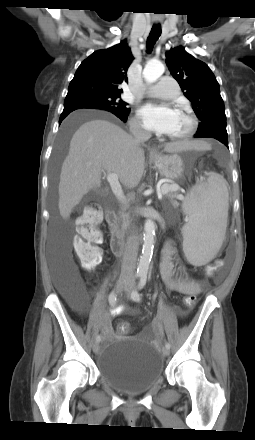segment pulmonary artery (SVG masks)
<instances>
[{
  "label": "pulmonary artery",
  "instance_id": "e3ab8cb5",
  "mask_svg": "<svg viewBox=\"0 0 255 440\" xmlns=\"http://www.w3.org/2000/svg\"><path fill=\"white\" fill-rule=\"evenodd\" d=\"M178 94V83L170 76L162 77L160 81L148 91V95L161 99H172L177 97Z\"/></svg>",
  "mask_w": 255,
  "mask_h": 440
}]
</instances>
